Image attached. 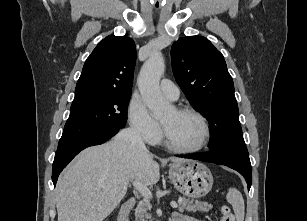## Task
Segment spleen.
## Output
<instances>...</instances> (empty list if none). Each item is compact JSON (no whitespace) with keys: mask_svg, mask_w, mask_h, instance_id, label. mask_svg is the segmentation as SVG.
I'll return each mask as SVG.
<instances>
[{"mask_svg":"<svg viewBox=\"0 0 307 221\" xmlns=\"http://www.w3.org/2000/svg\"><path fill=\"white\" fill-rule=\"evenodd\" d=\"M227 201L232 205L237 221H244L245 205L241 192L236 188H229Z\"/></svg>","mask_w":307,"mask_h":221,"instance_id":"3e777b00","label":"spleen"}]
</instances>
